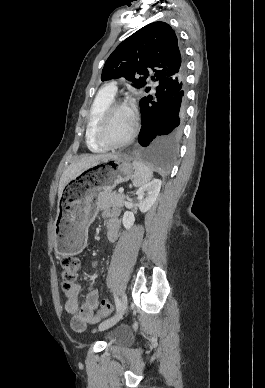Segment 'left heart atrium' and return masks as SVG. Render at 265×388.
<instances>
[{
	"label": "left heart atrium",
	"instance_id": "obj_1",
	"mask_svg": "<svg viewBox=\"0 0 265 388\" xmlns=\"http://www.w3.org/2000/svg\"><path fill=\"white\" fill-rule=\"evenodd\" d=\"M128 114H129V117L131 118V120H133L136 115H137V109L134 105H131L129 108H128Z\"/></svg>",
	"mask_w": 265,
	"mask_h": 388
}]
</instances>
